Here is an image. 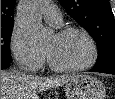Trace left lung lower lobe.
<instances>
[{"label":"left lung lower lobe","mask_w":115,"mask_h":99,"mask_svg":"<svg viewBox=\"0 0 115 99\" xmlns=\"http://www.w3.org/2000/svg\"><path fill=\"white\" fill-rule=\"evenodd\" d=\"M91 71H93V72L107 73V74H115V66L107 67V68H104V69H95V68H92Z\"/></svg>","instance_id":"1"}]
</instances>
